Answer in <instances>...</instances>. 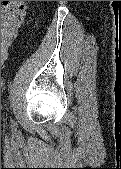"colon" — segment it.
<instances>
[{
	"mask_svg": "<svg viewBox=\"0 0 121 169\" xmlns=\"http://www.w3.org/2000/svg\"><path fill=\"white\" fill-rule=\"evenodd\" d=\"M26 12L25 1H4L1 8V60L4 62Z\"/></svg>",
	"mask_w": 121,
	"mask_h": 169,
	"instance_id": "obj_1",
	"label": "colon"
}]
</instances>
